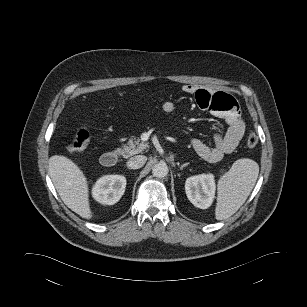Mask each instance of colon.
<instances>
[{"label": "colon", "instance_id": "5ec220e1", "mask_svg": "<svg viewBox=\"0 0 307 307\" xmlns=\"http://www.w3.org/2000/svg\"><path fill=\"white\" fill-rule=\"evenodd\" d=\"M258 141H259L258 136L255 133L250 132L246 138V145L249 148H254L257 146ZM88 142H89L88 131L85 129H81L75 133V135L73 136L67 147V150L70 153H79L85 149Z\"/></svg>", "mask_w": 307, "mask_h": 307}]
</instances>
